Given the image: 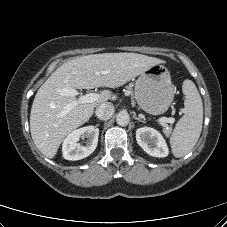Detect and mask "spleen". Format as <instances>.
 I'll return each mask as SVG.
<instances>
[{"instance_id": "obj_1", "label": "spleen", "mask_w": 227, "mask_h": 227, "mask_svg": "<svg viewBox=\"0 0 227 227\" xmlns=\"http://www.w3.org/2000/svg\"><path fill=\"white\" fill-rule=\"evenodd\" d=\"M182 91L185 95L184 116L179 119L170 137L172 153L177 158L183 157L194 148L203 123V103L197 87L186 79Z\"/></svg>"}]
</instances>
